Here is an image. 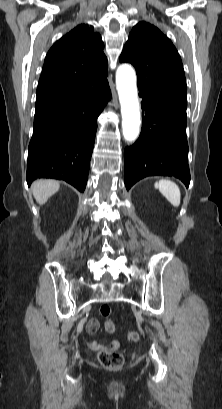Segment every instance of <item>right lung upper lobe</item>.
<instances>
[{"label":"right lung upper lobe","mask_w":222,"mask_h":409,"mask_svg":"<svg viewBox=\"0 0 222 409\" xmlns=\"http://www.w3.org/2000/svg\"><path fill=\"white\" fill-rule=\"evenodd\" d=\"M104 44L92 26L81 24L49 50L37 87L36 106L83 93L90 79L108 73Z\"/></svg>","instance_id":"obj_1"}]
</instances>
